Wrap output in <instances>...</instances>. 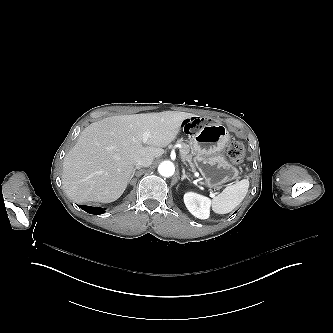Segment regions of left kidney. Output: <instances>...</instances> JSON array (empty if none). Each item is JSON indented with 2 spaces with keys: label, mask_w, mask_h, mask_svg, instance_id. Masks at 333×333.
Here are the masks:
<instances>
[{
  "label": "left kidney",
  "mask_w": 333,
  "mask_h": 333,
  "mask_svg": "<svg viewBox=\"0 0 333 333\" xmlns=\"http://www.w3.org/2000/svg\"><path fill=\"white\" fill-rule=\"evenodd\" d=\"M184 203L187 209L197 218L206 219L209 216L210 200L195 193H186Z\"/></svg>",
  "instance_id": "left-kidney-1"
}]
</instances>
